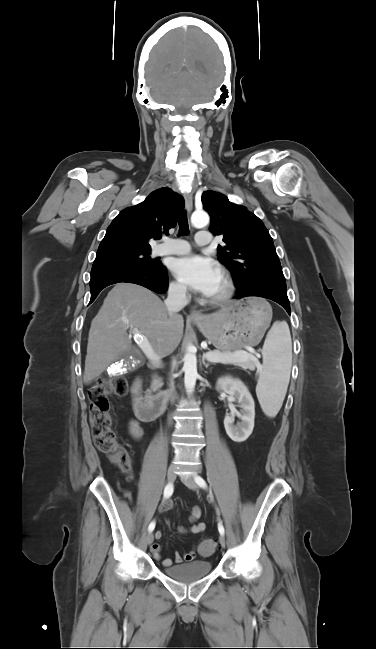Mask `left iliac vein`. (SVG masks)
Returning a JSON list of instances; mask_svg holds the SVG:
<instances>
[{
  "label": "left iliac vein",
  "instance_id": "left-iliac-vein-1",
  "mask_svg": "<svg viewBox=\"0 0 376 649\" xmlns=\"http://www.w3.org/2000/svg\"><path fill=\"white\" fill-rule=\"evenodd\" d=\"M182 481L191 490L196 491L198 489V486H197L196 482L191 477H183ZM219 542H220V545L222 547H225L226 539H225L224 535H222V534L220 535Z\"/></svg>",
  "mask_w": 376,
  "mask_h": 649
}]
</instances>
